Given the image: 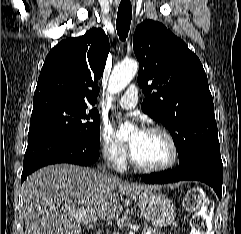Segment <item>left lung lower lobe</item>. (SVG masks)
Masks as SVG:
<instances>
[{"label":"left lung lower lobe","mask_w":241,"mask_h":234,"mask_svg":"<svg viewBox=\"0 0 241 234\" xmlns=\"http://www.w3.org/2000/svg\"><path fill=\"white\" fill-rule=\"evenodd\" d=\"M141 179L146 183H172L182 180H198L211 186L219 199L222 195L223 164L221 156L201 154L193 156L174 170L143 175Z\"/></svg>","instance_id":"obj_1"}]
</instances>
